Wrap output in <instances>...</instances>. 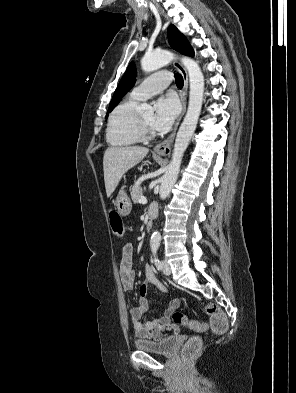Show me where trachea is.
<instances>
[{
	"label": "trachea",
	"mask_w": 296,
	"mask_h": 393,
	"mask_svg": "<svg viewBox=\"0 0 296 393\" xmlns=\"http://www.w3.org/2000/svg\"><path fill=\"white\" fill-rule=\"evenodd\" d=\"M175 81H176L177 87H179V88L183 87L184 81H183L182 75L175 73Z\"/></svg>",
	"instance_id": "3493384b"
}]
</instances>
